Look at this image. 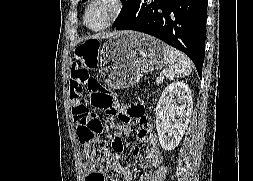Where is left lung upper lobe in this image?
<instances>
[{
  "mask_svg": "<svg viewBox=\"0 0 253 181\" xmlns=\"http://www.w3.org/2000/svg\"><path fill=\"white\" fill-rule=\"evenodd\" d=\"M86 1V0H83ZM136 0H125L123 2V7L122 10L118 16V18L115 20L113 26H116L119 22H121L127 15L128 13L132 10Z\"/></svg>",
  "mask_w": 253,
  "mask_h": 181,
  "instance_id": "1",
  "label": "left lung upper lobe"
}]
</instances>
